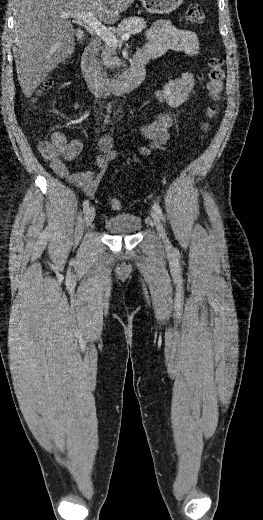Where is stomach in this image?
<instances>
[{
	"label": "stomach",
	"mask_w": 263,
	"mask_h": 520,
	"mask_svg": "<svg viewBox=\"0 0 263 520\" xmlns=\"http://www.w3.org/2000/svg\"><path fill=\"white\" fill-rule=\"evenodd\" d=\"M143 7L152 14H168L176 10L183 0H141Z\"/></svg>",
	"instance_id": "0dacf381"
}]
</instances>
